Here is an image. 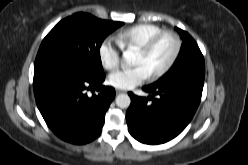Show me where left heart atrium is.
Masks as SVG:
<instances>
[{"mask_svg": "<svg viewBox=\"0 0 248 165\" xmlns=\"http://www.w3.org/2000/svg\"><path fill=\"white\" fill-rule=\"evenodd\" d=\"M151 73L144 65H137L132 68L120 69L109 76V83L119 89H131L142 84Z\"/></svg>", "mask_w": 248, "mask_h": 165, "instance_id": "left-heart-atrium-1", "label": "left heart atrium"}]
</instances>
